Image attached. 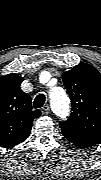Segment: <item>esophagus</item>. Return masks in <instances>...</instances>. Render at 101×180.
Here are the masks:
<instances>
[{
    "label": "esophagus",
    "mask_w": 101,
    "mask_h": 180,
    "mask_svg": "<svg viewBox=\"0 0 101 180\" xmlns=\"http://www.w3.org/2000/svg\"><path fill=\"white\" fill-rule=\"evenodd\" d=\"M49 113H50V108H49V106H48V105L44 106V107L42 108V114L47 115V114H49Z\"/></svg>",
    "instance_id": "1"
}]
</instances>
